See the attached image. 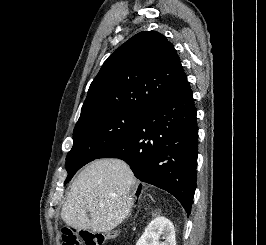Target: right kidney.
Masks as SVG:
<instances>
[{
    "label": "right kidney",
    "instance_id": "obj_1",
    "mask_svg": "<svg viewBox=\"0 0 266 245\" xmlns=\"http://www.w3.org/2000/svg\"><path fill=\"white\" fill-rule=\"evenodd\" d=\"M161 235L164 241H159ZM136 245H176L173 223L166 217H156L147 225Z\"/></svg>",
    "mask_w": 266,
    "mask_h": 245
}]
</instances>
